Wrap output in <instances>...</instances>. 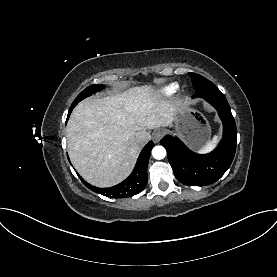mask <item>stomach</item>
Segmentation results:
<instances>
[{"instance_id": "stomach-1", "label": "stomach", "mask_w": 277, "mask_h": 277, "mask_svg": "<svg viewBox=\"0 0 277 277\" xmlns=\"http://www.w3.org/2000/svg\"><path fill=\"white\" fill-rule=\"evenodd\" d=\"M174 132L186 144L198 150L210 139L211 129L201 112L182 103H177L174 110Z\"/></svg>"}]
</instances>
